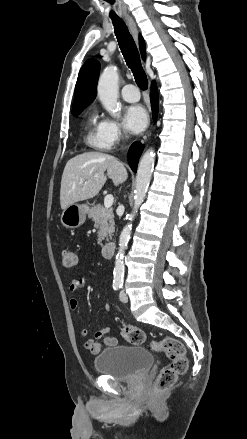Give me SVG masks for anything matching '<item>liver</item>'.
<instances>
[{
    "label": "liver",
    "instance_id": "liver-1",
    "mask_svg": "<svg viewBox=\"0 0 247 439\" xmlns=\"http://www.w3.org/2000/svg\"><path fill=\"white\" fill-rule=\"evenodd\" d=\"M105 171L115 186L128 176L124 164L112 155L88 152L71 158L61 179V208L96 196L107 180Z\"/></svg>",
    "mask_w": 247,
    "mask_h": 439
}]
</instances>
